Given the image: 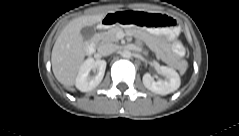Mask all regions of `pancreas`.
Returning a JSON list of instances; mask_svg holds the SVG:
<instances>
[{
	"instance_id": "1",
	"label": "pancreas",
	"mask_w": 239,
	"mask_h": 136,
	"mask_svg": "<svg viewBox=\"0 0 239 136\" xmlns=\"http://www.w3.org/2000/svg\"><path fill=\"white\" fill-rule=\"evenodd\" d=\"M122 28L119 27V26H114L112 28H110L108 31L106 32H102V33H99L98 34V39L102 42V43H105V42H118L119 41V38L117 37V34L119 32H122ZM135 33L137 32L136 29L133 30ZM136 36H141L143 38L146 39V41H150V38L144 34V33H140L139 35L136 33ZM152 49L155 50V51H159V49H157L156 47L152 46ZM167 63H169L168 61H166Z\"/></svg>"
}]
</instances>
